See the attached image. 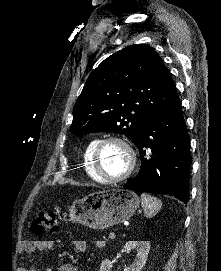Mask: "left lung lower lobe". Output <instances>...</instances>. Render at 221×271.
Here are the masks:
<instances>
[{
	"label": "left lung lower lobe",
	"instance_id": "obj_1",
	"mask_svg": "<svg viewBox=\"0 0 221 271\" xmlns=\"http://www.w3.org/2000/svg\"><path fill=\"white\" fill-rule=\"evenodd\" d=\"M139 148L141 169L124 188L189 199L190 137L178 96L140 129L134 142ZM151 156H145L146 151Z\"/></svg>",
	"mask_w": 221,
	"mask_h": 271
}]
</instances>
